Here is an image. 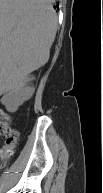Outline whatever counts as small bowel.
Instances as JSON below:
<instances>
[{"label": "small bowel", "mask_w": 103, "mask_h": 193, "mask_svg": "<svg viewBox=\"0 0 103 193\" xmlns=\"http://www.w3.org/2000/svg\"><path fill=\"white\" fill-rule=\"evenodd\" d=\"M10 152L8 151V150H5L4 152H3V154L4 155H8Z\"/></svg>", "instance_id": "obj_1"}]
</instances>
